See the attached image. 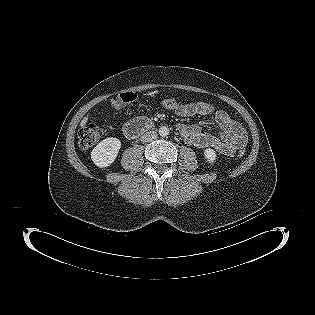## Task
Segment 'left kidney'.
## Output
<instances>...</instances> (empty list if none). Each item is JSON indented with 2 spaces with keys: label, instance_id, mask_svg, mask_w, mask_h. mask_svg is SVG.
<instances>
[{
  "label": "left kidney",
  "instance_id": "obj_1",
  "mask_svg": "<svg viewBox=\"0 0 315 315\" xmlns=\"http://www.w3.org/2000/svg\"><path fill=\"white\" fill-rule=\"evenodd\" d=\"M204 156L210 164H213L216 160L217 154L213 149L207 148L204 150Z\"/></svg>",
  "mask_w": 315,
  "mask_h": 315
}]
</instances>
